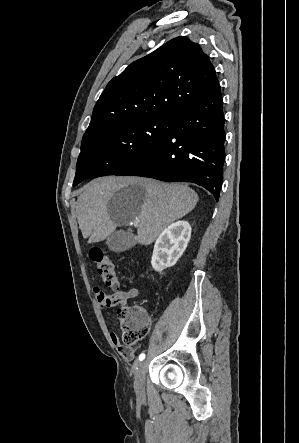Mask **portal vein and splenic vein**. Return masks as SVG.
Segmentation results:
<instances>
[{"instance_id":"obj_1","label":"portal vein and splenic vein","mask_w":299,"mask_h":443,"mask_svg":"<svg viewBox=\"0 0 299 443\" xmlns=\"http://www.w3.org/2000/svg\"><path fill=\"white\" fill-rule=\"evenodd\" d=\"M140 220L138 218H135L132 222V224H134V226H138Z\"/></svg>"}]
</instances>
